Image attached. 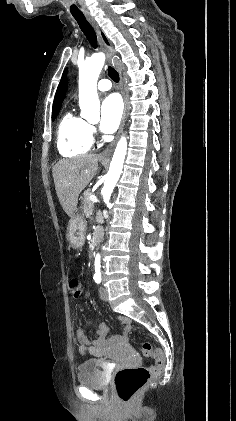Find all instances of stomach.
<instances>
[{
    "mask_svg": "<svg viewBox=\"0 0 236 421\" xmlns=\"http://www.w3.org/2000/svg\"><path fill=\"white\" fill-rule=\"evenodd\" d=\"M106 164L104 160H100ZM87 231V221L82 215H72L67 227L66 239L72 249H81L85 243V235Z\"/></svg>",
    "mask_w": 236,
    "mask_h": 421,
    "instance_id": "1",
    "label": "stomach"
}]
</instances>
